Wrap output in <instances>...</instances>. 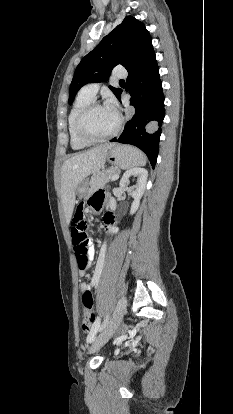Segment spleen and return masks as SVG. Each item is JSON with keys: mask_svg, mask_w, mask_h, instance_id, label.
Returning <instances> with one entry per match:
<instances>
[{"mask_svg": "<svg viewBox=\"0 0 233 414\" xmlns=\"http://www.w3.org/2000/svg\"><path fill=\"white\" fill-rule=\"evenodd\" d=\"M145 164H146V159L144 157L139 163L135 164L133 167H135V166H144Z\"/></svg>", "mask_w": 233, "mask_h": 414, "instance_id": "3e777b00", "label": "spleen"}]
</instances>
